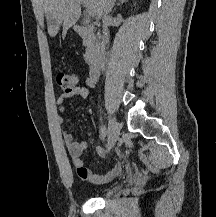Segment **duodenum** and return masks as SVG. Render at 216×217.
Listing matches in <instances>:
<instances>
[{
  "label": "duodenum",
  "instance_id": "duodenum-1",
  "mask_svg": "<svg viewBox=\"0 0 216 217\" xmlns=\"http://www.w3.org/2000/svg\"><path fill=\"white\" fill-rule=\"evenodd\" d=\"M76 31L88 38L92 45V53L89 55L90 74L96 75L102 69L107 58V44L102 39H97L96 35L89 27L77 25Z\"/></svg>",
  "mask_w": 216,
  "mask_h": 217
}]
</instances>
